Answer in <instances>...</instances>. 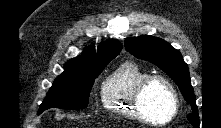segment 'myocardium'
Segmentation results:
<instances>
[{
	"label": "myocardium",
	"mask_w": 221,
	"mask_h": 128,
	"mask_svg": "<svg viewBox=\"0 0 221 128\" xmlns=\"http://www.w3.org/2000/svg\"><path fill=\"white\" fill-rule=\"evenodd\" d=\"M155 81L161 82L166 87L169 97H170L171 105H172V112L170 116L162 122H156L152 120L142 107L143 93L147 89V87ZM132 106L136 115L141 120L147 123H151L153 125H160V126H164V125L171 123L177 116L178 108H179L178 97H177V93L173 84L170 82L168 78L159 74H149L137 84L134 90V93L132 95Z\"/></svg>",
	"instance_id": "obj_1"
}]
</instances>
